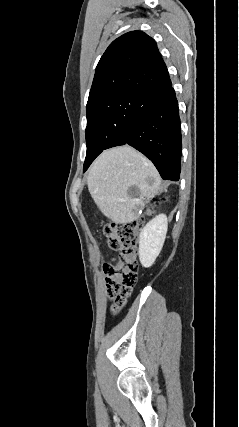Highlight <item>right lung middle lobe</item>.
I'll list each match as a JSON object with an SVG mask.
<instances>
[{
	"mask_svg": "<svg viewBox=\"0 0 239 427\" xmlns=\"http://www.w3.org/2000/svg\"><path fill=\"white\" fill-rule=\"evenodd\" d=\"M142 100L141 96L126 95L86 106L87 152L84 172L103 150L118 146L127 139L132 118Z\"/></svg>",
	"mask_w": 239,
	"mask_h": 427,
	"instance_id": "1",
	"label": "right lung middle lobe"
}]
</instances>
